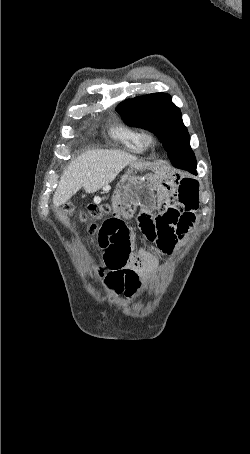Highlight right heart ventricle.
Segmentation results:
<instances>
[{"mask_svg": "<svg viewBox=\"0 0 250 454\" xmlns=\"http://www.w3.org/2000/svg\"><path fill=\"white\" fill-rule=\"evenodd\" d=\"M110 135L128 151L142 153L145 149L142 133L134 127L117 125L111 129Z\"/></svg>", "mask_w": 250, "mask_h": 454, "instance_id": "1", "label": "right heart ventricle"}]
</instances>
